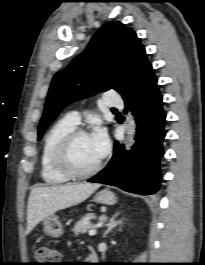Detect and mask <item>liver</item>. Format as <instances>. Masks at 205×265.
Masks as SVG:
<instances>
[{
    "mask_svg": "<svg viewBox=\"0 0 205 265\" xmlns=\"http://www.w3.org/2000/svg\"><path fill=\"white\" fill-rule=\"evenodd\" d=\"M99 187L97 183H78L33 188L27 206V233L57 211L83 202Z\"/></svg>",
    "mask_w": 205,
    "mask_h": 265,
    "instance_id": "1",
    "label": "liver"
}]
</instances>
